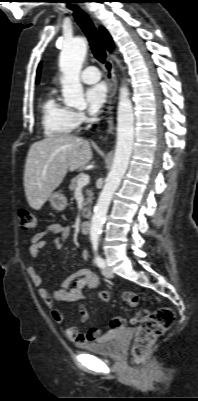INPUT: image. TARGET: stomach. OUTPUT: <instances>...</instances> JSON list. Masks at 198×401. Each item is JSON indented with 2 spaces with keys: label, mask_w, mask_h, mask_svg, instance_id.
Returning a JSON list of instances; mask_svg holds the SVG:
<instances>
[{
  "label": "stomach",
  "mask_w": 198,
  "mask_h": 401,
  "mask_svg": "<svg viewBox=\"0 0 198 401\" xmlns=\"http://www.w3.org/2000/svg\"><path fill=\"white\" fill-rule=\"evenodd\" d=\"M49 202L56 211H63L67 205V199L61 192H54L49 196Z\"/></svg>",
  "instance_id": "stomach-1"
}]
</instances>
